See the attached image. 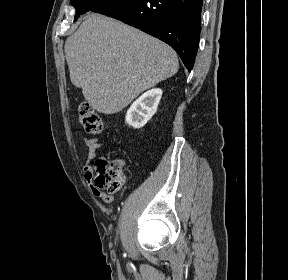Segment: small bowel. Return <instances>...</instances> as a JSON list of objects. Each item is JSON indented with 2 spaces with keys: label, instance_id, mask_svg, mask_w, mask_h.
I'll return each instance as SVG.
<instances>
[{
  "label": "small bowel",
  "instance_id": "obj_1",
  "mask_svg": "<svg viewBox=\"0 0 288 280\" xmlns=\"http://www.w3.org/2000/svg\"><path fill=\"white\" fill-rule=\"evenodd\" d=\"M85 145L88 148V160L94 159L98 155V150L103 146V144L99 141L98 138H86L84 140ZM124 165V162H123ZM83 172L85 175V178L88 182L89 188L91 189L92 193L102 199L103 202L105 203H110L113 201V196L112 194L106 193L101 190V188L97 187L93 183V177H94V172L92 166L87 163L83 167Z\"/></svg>",
  "mask_w": 288,
  "mask_h": 280
}]
</instances>
